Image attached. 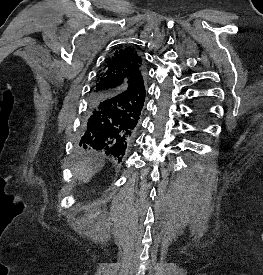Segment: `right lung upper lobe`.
<instances>
[{
	"instance_id": "cb5924a9",
	"label": "right lung upper lobe",
	"mask_w": 263,
	"mask_h": 275,
	"mask_svg": "<svg viewBox=\"0 0 263 275\" xmlns=\"http://www.w3.org/2000/svg\"><path fill=\"white\" fill-rule=\"evenodd\" d=\"M141 65V58L133 49L116 50L112 57L107 59L91 94L126 91L129 94L130 112L139 114L145 100L144 83L138 76Z\"/></svg>"
}]
</instances>
